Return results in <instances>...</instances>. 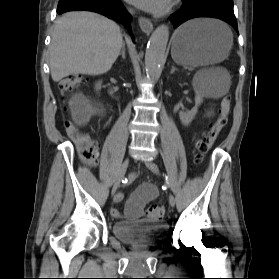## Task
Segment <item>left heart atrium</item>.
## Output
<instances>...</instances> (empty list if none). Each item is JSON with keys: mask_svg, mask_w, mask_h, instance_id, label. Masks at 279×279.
<instances>
[{"mask_svg": "<svg viewBox=\"0 0 279 279\" xmlns=\"http://www.w3.org/2000/svg\"><path fill=\"white\" fill-rule=\"evenodd\" d=\"M127 1L143 10L149 12H155V13L166 10L171 3V0H127Z\"/></svg>", "mask_w": 279, "mask_h": 279, "instance_id": "left-heart-atrium-1", "label": "left heart atrium"}]
</instances>
